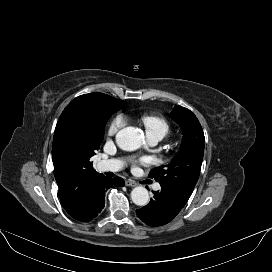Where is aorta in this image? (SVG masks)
Here are the masks:
<instances>
[{"instance_id": "762f6f07", "label": "aorta", "mask_w": 272, "mask_h": 272, "mask_svg": "<svg viewBox=\"0 0 272 272\" xmlns=\"http://www.w3.org/2000/svg\"><path fill=\"white\" fill-rule=\"evenodd\" d=\"M144 140V135L140 129L126 127L121 129L116 135L117 145L125 151L138 149ZM131 199L138 206H145L149 202L148 190L142 186L135 187L131 191Z\"/></svg>"}]
</instances>
